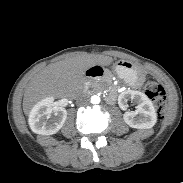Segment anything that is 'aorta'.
Returning <instances> with one entry per match:
<instances>
[{
    "label": "aorta",
    "instance_id": "obj_1",
    "mask_svg": "<svg viewBox=\"0 0 183 183\" xmlns=\"http://www.w3.org/2000/svg\"><path fill=\"white\" fill-rule=\"evenodd\" d=\"M90 101L92 104H99L100 103V97L97 95H93L90 98Z\"/></svg>",
    "mask_w": 183,
    "mask_h": 183
}]
</instances>
